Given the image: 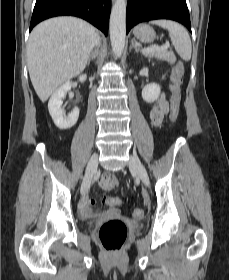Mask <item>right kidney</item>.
Returning a JSON list of instances; mask_svg holds the SVG:
<instances>
[{
  "instance_id": "ca27d5eb",
  "label": "right kidney",
  "mask_w": 229,
  "mask_h": 280,
  "mask_svg": "<svg viewBox=\"0 0 229 280\" xmlns=\"http://www.w3.org/2000/svg\"><path fill=\"white\" fill-rule=\"evenodd\" d=\"M86 80V75L79 77L80 82ZM71 89L70 81L61 85L50 97L48 103V110L53 119L54 124L61 130H67L73 127L79 117V109L75 107L67 116L64 114L62 106V99L66 96L67 92Z\"/></svg>"
}]
</instances>
